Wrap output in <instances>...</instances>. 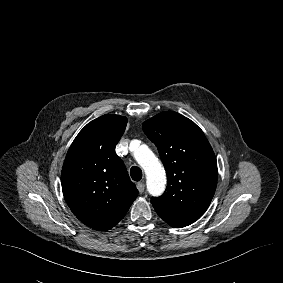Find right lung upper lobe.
Instances as JSON below:
<instances>
[{"label": "right lung upper lobe", "instance_id": "cb5924a9", "mask_svg": "<svg viewBox=\"0 0 283 283\" xmlns=\"http://www.w3.org/2000/svg\"><path fill=\"white\" fill-rule=\"evenodd\" d=\"M126 124V117L112 114L88 123L70 146L62 167L68 206L82 223L99 231L115 226L138 195L115 153Z\"/></svg>", "mask_w": 283, "mask_h": 283}]
</instances>
